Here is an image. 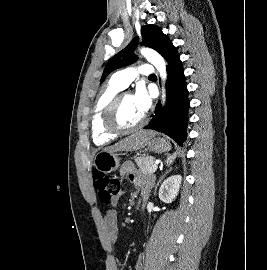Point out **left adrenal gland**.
Returning <instances> with one entry per match:
<instances>
[{
    "label": "left adrenal gland",
    "instance_id": "1",
    "mask_svg": "<svg viewBox=\"0 0 267 270\" xmlns=\"http://www.w3.org/2000/svg\"><path fill=\"white\" fill-rule=\"evenodd\" d=\"M170 171H171V169H170V170H166V171L164 172V174L159 178V180L157 181V184H156V186H155V192H154V194L156 193V189H157L159 183L161 182V180H162V179H163Z\"/></svg>",
    "mask_w": 267,
    "mask_h": 270
}]
</instances>
